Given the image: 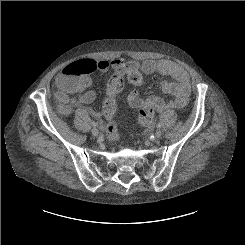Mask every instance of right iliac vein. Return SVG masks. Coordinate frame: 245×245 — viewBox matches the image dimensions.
<instances>
[{
  "mask_svg": "<svg viewBox=\"0 0 245 245\" xmlns=\"http://www.w3.org/2000/svg\"><path fill=\"white\" fill-rule=\"evenodd\" d=\"M92 135L93 136H98L99 135V132H98V130L96 128L92 129Z\"/></svg>",
  "mask_w": 245,
  "mask_h": 245,
  "instance_id": "obj_1",
  "label": "right iliac vein"
}]
</instances>
